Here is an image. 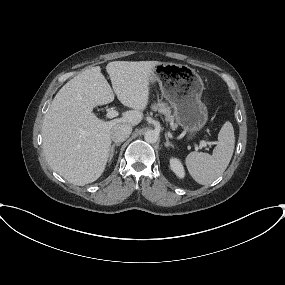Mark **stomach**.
Instances as JSON below:
<instances>
[{"mask_svg": "<svg viewBox=\"0 0 285 285\" xmlns=\"http://www.w3.org/2000/svg\"><path fill=\"white\" fill-rule=\"evenodd\" d=\"M152 82H158L162 96L173 108L176 124L187 134V140H192L208 121L207 106L201 101V77L187 66L159 63L153 69Z\"/></svg>", "mask_w": 285, "mask_h": 285, "instance_id": "obj_1", "label": "stomach"}]
</instances>
